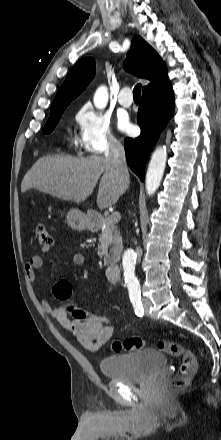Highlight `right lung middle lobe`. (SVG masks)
<instances>
[{"instance_id": "1", "label": "right lung middle lobe", "mask_w": 221, "mask_h": 440, "mask_svg": "<svg viewBox=\"0 0 221 440\" xmlns=\"http://www.w3.org/2000/svg\"><path fill=\"white\" fill-rule=\"evenodd\" d=\"M65 109H66L65 106L51 109V115H50L44 129L42 130L43 133L48 134L55 128V126L59 122L61 115Z\"/></svg>"}]
</instances>
